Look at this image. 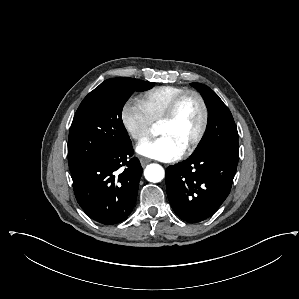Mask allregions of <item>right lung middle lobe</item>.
<instances>
[{
    "mask_svg": "<svg viewBox=\"0 0 299 299\" xmlns=\"http://www.w3.org/2000/svg\"><path fill=\"white\" fill-rule=\"evenodd\" d=\"M153 83L132 78H112L102 82L81 102L68 139L71 173L89 161L122 149L131 143L121 113L134 91H144Z\"/></svg>",
    "mask_w": 299,
    "mask_h": 299,
    "instance_id": "obj_1",
    "label": "right lung middle lobe"
}]
</instances>
